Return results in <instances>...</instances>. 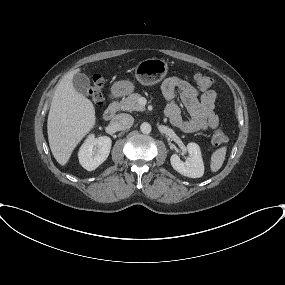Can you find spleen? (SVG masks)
Returning a JSON list of instances; mask_svg holds the SVG:
<instances>
[{"mask_svg": "<svg viewBox=\"0 0 285 285\" xmlns=\"http://www.w3.org/2000/svg\"><path fill=\"white\" fill-rule=\"evenodd\" d=\"M226 152V146H223L213 152V154L211 155L210 162V168L212 172H217L222 167L225 160Z\"/></svg>", "mask_w": 285, "mask_h": 285, "instance_id": "1", "label": "spleen"}]
</instances>
